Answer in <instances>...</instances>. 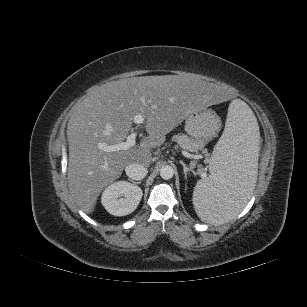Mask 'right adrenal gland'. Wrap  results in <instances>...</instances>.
Masks as SVG:
<instances>
[{"instance_id":"1","label":"right adrenal gland","mask_w":307,"mask_h":307,"mask_svg":"<svg viewBox=\"0 0 307 307\" xmlns=\"http://www.w3.org/2000/svg\"><path fill=\"white\" fill-rule=\"evenodd\" d=\"M129 181L132 182L133 184H141V181L136 182V181H133V180H131V179H129Z\"/></svg>"}]
</instances>
